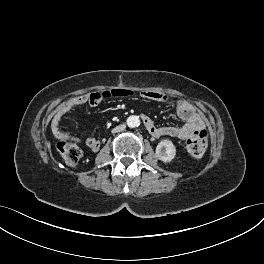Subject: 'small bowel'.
<instances>
[{"label":"small bowel","instance_id":"1","mask_svg":"<svg viewBox=\"0 0 264 264\" xmlns=\"http://www.w3.org/2000/svg\"><path fill=\"white\" fill-rule=\"evenodd\" d=\"M141 96L155 101H164L166 99L165 96L154 91H143L141 92ZM100 101L101 100H98L96 102H91L90 95H83L63 103L57 109L52 119L51 127L54 135L60 139H72L76 142H81V139L72 137L67 132H63L60 129V121L65 114L76 109L77 107L85 103L96 105ZM176 109L178 116L183 120V124L178 126H157L148 115L143 114L141 116L147 131L150 133L152 137L154 138L175 137L181 140H186L192 137L196 132H198L203 128L202 119L194 111V108L190 104L183 101H178L176 104ZM85 142L86 145L93 151H97L100 147L99 140L92 136H89Z\"/></svg>","mask_w":264,"mask_h":264}]
</instances>
